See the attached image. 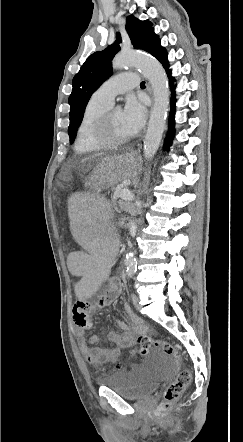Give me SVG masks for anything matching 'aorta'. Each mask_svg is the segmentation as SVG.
<instances>
[{
  "instance_id": "obj_1",
  "label": "aorta",
  "mask_w": 243,
  "mask_h": 442,
  "mask_svg": "<svg viewBox=\"0 0 243 442\" xmlns=\"http://www.w3.org/2000/svg\"><path fill=\"white\" fill-rule=\"evenodd\" d=\"M112 65L114 69L137 68L151 83L154 105L144 138V156L150 160L159 148L169 106L170 92L165 70L155 58L133 51L121 53ZM126 264L128 272H133L135 260L132 253L126 254Z\"/></svg>"
}]
</instances>
